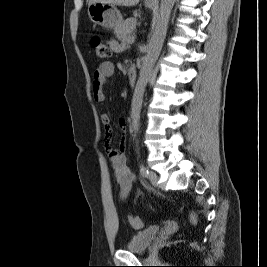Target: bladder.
<instances>
[{
    "instance_id": "1",
    "label": "bladder",
    "mask_w": 267,
    "mask_h": 267,
    "mask_svg": "<svg viewBox=\"0 0 267 267\" xmlns=\"http://www.w3.org/2000/svg\"><path fill=\"white\" fill-rule=\"evenodd\" d=\"M160 231L159 226H151L134 234L126 244V249L131 252L146 251Z\"/></svg>"
}]
</instances>
